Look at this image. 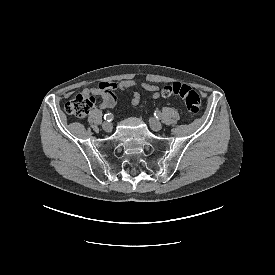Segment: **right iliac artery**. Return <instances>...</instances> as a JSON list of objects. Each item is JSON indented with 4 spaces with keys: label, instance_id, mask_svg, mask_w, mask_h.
<instances>
[{
    "label": "right iliac artery",
    "instance_id": "right-iliac-artery-1",
    "mask_svg": "<svg viewBox=\"0 0 275 275\" xmlns=\"http://www.w3.org/2000/svg\"><path fill=\"white\" fill-rule=\"evenodd\" d=\"M104 119L107 120V121H111L113 119V115L112 114H105L104 115Z\"/></svg>",
    "mask_w": 275,
    "mask_h": 275
}]
</instances>
